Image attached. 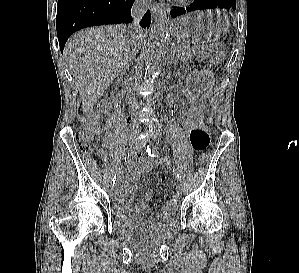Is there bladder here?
Wrapping results in <instances>:
<instances>
[{
	"mask_svg": "<svg viewBox=\"0 0 299 273\" xmlns=\"http://www.w3.org/2000/svg\"><path fill=\"white\" fill-rule=\"evenodd\" d=\"M138 219L132 215H127L121 213L119 210L114 208L113 210V223L115 226L120 228H130L133 227L137 223ZM175 223V219L173 216L167 217L165 219H161L159 224L162 226H169Z\"/></svg>",
	"mask_w": 299,
	"mask_h": 273,
	"instance_id": "obj_1",
	"label": "bladder"
}]
</instances>
